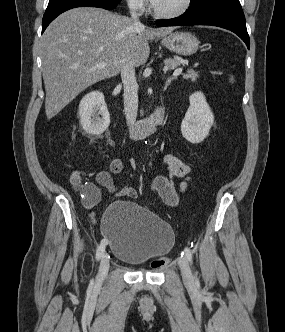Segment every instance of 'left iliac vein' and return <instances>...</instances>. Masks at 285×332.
<instances>
[{"label":"left iliac vein","instance_id":"1","mask_svg":"<svg viewBox=\"0 0 285 332\" xmlns=\"http://www.w3.org/2000/svg\"><path fill=\"white\" fill-rule=\"evenodd\" d=\"M178 265L180 267L184 282L187 285H192L194 283V278L187 258L185 256L180 257L178 259Z\"/></svg>","mask_w":285,"mask_h":332}]
</instances>
